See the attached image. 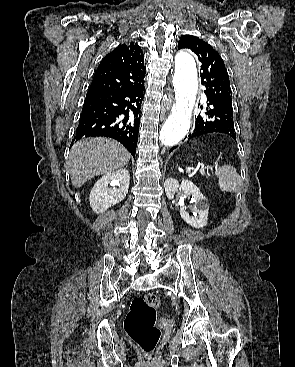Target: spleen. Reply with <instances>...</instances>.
<instances>
[{
	"label": "spleen",
	"instance_id": "3e777b00",
	"mask_svg": "<svg viewBox=\"0 0 295 367\" xmlns=\"http://www.w3.org/2000/svg\"><path fill=\"white\" fill-rule=\"evenodd\" d=\"M215 174L218 177V185L223 192H237L241 186V178L236 169L230 164L220 166Z\"/></svg>",
	"mask_w": 295,
	"mask_h": 367
}]
</instances>
